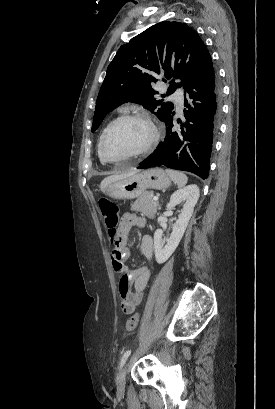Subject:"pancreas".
I'll return each instance as SVG.
<instances>
[{
    "instance_id": "1",
    "label": "pancreas",
    "mask_w": 275,
    "mask_h": 409,
    "mask_svg": "<svg viewBox=\"0 0 275 409\" xmlns=\"http://www.w3.org/2000/svg\"><path fill=\"white\" fill-rule=\"evenodd\" d=\"M158 207V200H153V190H145L133 202L131 211H141L148 219H154Z\"/></svg>"
}]
</instances>
